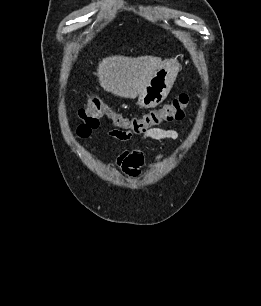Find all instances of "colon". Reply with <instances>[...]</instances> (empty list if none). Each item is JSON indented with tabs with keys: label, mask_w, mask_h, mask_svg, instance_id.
<instances>
[{
	"label": "colon",
	"mask_w": 261,
	"mask_h": 306,
	"mask_svg": "<svg viewBox=\"0 0 261 306\" xmlns=\"http://www.w3.org/2000/svg\"><path fill=\"white\" fill-rule=\"evenodd\" d=\"M189 101V95L183 93L160 109L149 111L138 117L127 118L92 94L88 98L86 108L79 112L81 122L77 128V134L81 138L88 137L94 129L98 128L101 119L108 118L117 127L115 129L117 134L121 138L128 139L132 135L146 133L163 121L182 119Z\"/></svg>",
	"instance_id": "obj_1"
}]
</instances>
